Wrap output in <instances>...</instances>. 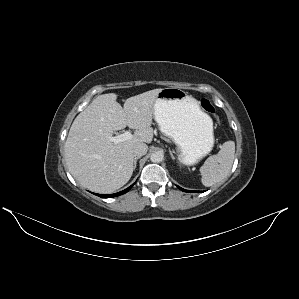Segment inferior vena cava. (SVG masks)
I'll return each instance as SVG.
<instances>
[{"label": "inferior vena cava", "mask_w": 299, "mask_h": 299, "mask_svg": "<svg viewBox=\"0 0 299 299\" xmlns=\"http://www.w3.org/2000/svg\"><path fill=\"white\" fill-rule=\"evenodd\" d=\"M147 151H148V146L145 143H141V144L135 146L134 150H133L134 156H136V157L137 156L141 157V156L145 155L147 153Z\"/></svg>", "instance_id": "inferior-vena-cava-1"}]
</instances>
